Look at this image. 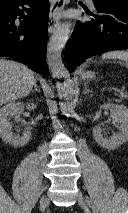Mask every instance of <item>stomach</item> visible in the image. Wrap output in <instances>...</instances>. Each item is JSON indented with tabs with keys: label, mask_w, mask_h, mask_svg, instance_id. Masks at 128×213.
<instances>
[{
	"label": "stomach",
	"mask_w": 128,
	"mask_h": 213,
	"mask_svg": "<svg viewBox=\"0 0 128 213\" xmlns=\"http://www.w3.org/2000/svg\"><path fill=\"white\" fill-rule=\"evenodd\" d=\"M95 73L92 71H87L82 73V78L83 79H92L94 77Z\"/></svg>",
	"instance_id": "obj_1"
}]
</instances>
